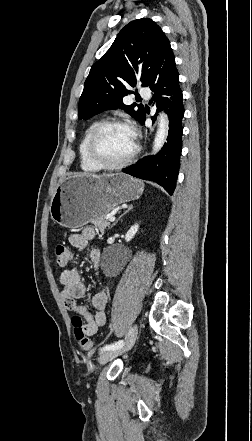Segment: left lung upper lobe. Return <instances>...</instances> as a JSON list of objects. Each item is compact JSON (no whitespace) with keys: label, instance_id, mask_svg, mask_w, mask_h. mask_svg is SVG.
<instances>
[{"label":"left lung upper lobe","instance_id":"left-lung-upper-lobe-1","mask_svg":"<svg viewBox=\"0 0 252 441\" xmlns=\"http://www.w3.org/2000/svg\"><path fill=\"white\" fill-rule=\"evenodd\" d=\"M169 40L151 19L131 21L118 34L109 50L91 67L78 106V117L89 119L108 109L122 108L139 122L145 109L125 105L137 81L146 87L155 73L158 57Z\"/></svg>","mask_w":252,"mask_h":441}]
</instances>
